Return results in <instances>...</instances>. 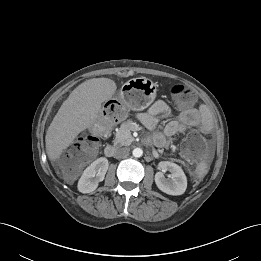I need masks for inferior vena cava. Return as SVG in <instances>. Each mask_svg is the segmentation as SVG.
Returning a JSON list of instances; mask_svg holds the SVG:
<instances>
[{
	"label": "inferior vena cava",
	"instance_id": "inferior-vena-cava-1",
	"mask_svg": "<svg viewBox=\"0 0 261 261\" xmlns=\"http://www.w3.org/2000/svg\"><path fill=\"white\" fill-rule=\"evenodd\" d=\"M130 149L128 147L117 148L114 153L115 158H124L129 155Z\"/></svg>",
	"mask_w": 261,
	"mask_h": 261
}]
</instances>
